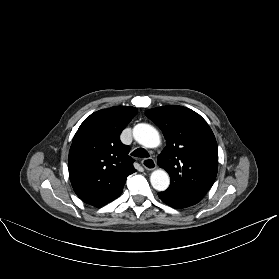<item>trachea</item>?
<instances>
[{
	"label": "trachea",
	"instance_id": "trachea-1",
	"mask_svg": "<svg viewBox=\"0 0 279 279\" xmlns=\"http://www.w3.org/2000/svg\"><path fill=\"white\" fill-rule=\"evenodd\" d=\"M131 155L133 157L138 158V159H143V158H148L149 157L148 152L145 149H143V148H138V149L134 150L131 153Z\"/></svg>",
	"mask_w": 279,
	"mask_h": 279
}]
</instances>
